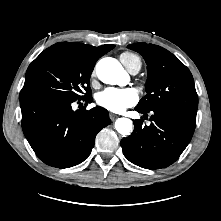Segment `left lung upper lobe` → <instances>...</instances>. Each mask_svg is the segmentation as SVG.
Here are the masks:
<instances>
[{"instance_id":"5c2ea615","label":"left lung upper lobe","mask_w":221,"mask_h":221,"mask_svg":"<svg viewBox=\"0 0 221 221\" xmlns=\"http://www.w3.org/2000/svg\"><path fill=\"white\" fill-rule=\"evenodd\" d=\"M128 48L141 54L147 63V94L136 108L150 111L179 106L197 110L198 96L192 74L176 56L154 44L135 43Z\"/></svg>"}]
</instances>
